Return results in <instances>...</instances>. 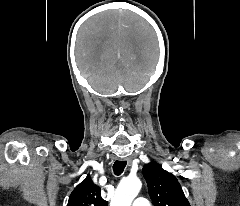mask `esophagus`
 I'll list each match as a JSON object with an SVG mask.
<instances>
[{"label":"esophagus","mask_w":240,"mask_h":206,"mask_svg":"<svg viewBox=\"0 0 240 206\" xmlns=\"http://www.w3.org/2000/svg\"><path fill=\"white\" fill-rule=\"evenodd\" d=\"M121 161H126L128 164H131L132 159L131 158H123Z\"/></svg>","instance_id":"1"}]
</instances>
